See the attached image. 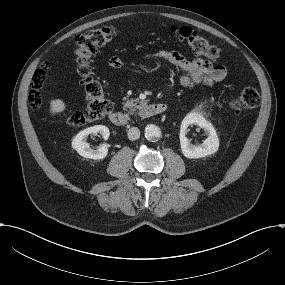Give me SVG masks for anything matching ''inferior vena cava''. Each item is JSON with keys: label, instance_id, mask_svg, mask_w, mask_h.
Here are the masks:
<instances>
[{"label": "inferior vena cava", "instance_id": "inferior-vena-cava-1", "mask_svg": "<svg viewBox=\"0 0 285 285\" xmlns=\"http://www.w3.org/2000/svg\"><path fill=\"white\" fill-rule=\"evenodd\" d=\"M127 135L130 140H137L140 137V130L137 127H131Z\"/></svg>", "mask_w": 285, "mask_h": 285}]
</instances>
